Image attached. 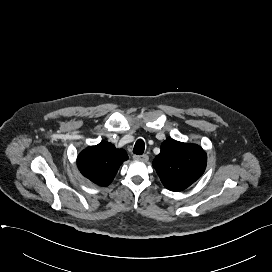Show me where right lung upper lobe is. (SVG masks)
<instances>
[{
    "label": "right lung upper lobe",
    "mask_w": 272,
    "mask_h": 272,
    "mask_svg": "<svg viewBox=\"0 0 272 272\" xmlns=\"http://www.w3.org/2000/svg\"><path fill=\"white\" fill-rule=\"evenodd\" d=\"M128 159L126 151L117 149L109 142L102 141L87 147L77 158V166L83 176L97 185L108 186L114 179L120 165Z\"/></svg>",
    "instance_id": "1"
}]
</instances>
